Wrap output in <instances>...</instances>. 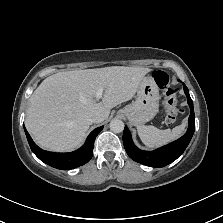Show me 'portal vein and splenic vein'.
Listing matches in <instances>:
<instances>
[{
  "label": "portal vein and splenic vein",
  "mask_w": 223,
  "mask_h": 223,
  "mask_svg": "<svg viewBox=\"0 0 223 223\" xmlns=\"http://www.w3.org/2000/svg\"><path fill=\"white\" fill-rule=\"evenodd\" d=\"M102 94H103V88H99V89L96 91V99H100V98H102Z\"/></svg>",
  "instance_id": "1"
}]
</instances>
